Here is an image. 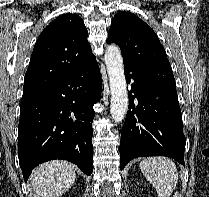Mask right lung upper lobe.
<instances>
[{
	"instance_id": "1",
	"label": "right lung upper lobe",
	"mask_w": 209,
	"mask_h": 197,
	"mask_svg": "<svg viewBox=\"0 0 209 197\" xmlns=\"http://www.w3.org/2000/svg\"><path fill=\"white\" fill-rule=\"evenodd\" d=\"M87 37L84 22L76 14H63L52 21L34 46L23 92L57 81L94 58Z\"/></svg>"
}]
</instances>
